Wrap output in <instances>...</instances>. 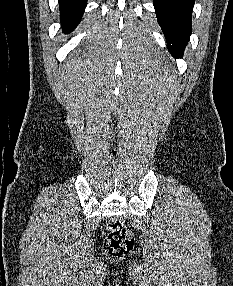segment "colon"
I'll list each match as a JSON object with an SVG mask.
<instances>
[{
	"mask_svg": "<svg viewBox=\"0 0 233 286\" xmlns=\"http://www.w3.org/2000/svg\"><path fill=\"white\" fill-rule=\"evenodd\" d=\"M133 245L132 233L119 219H112L108 223V234L104 242V249L111 256H120L128 252Z\"/></svg>",
	"mask_w": 233,
	"mask_h": 286,
	"instance_id": "colon-1",
	"label": "colon"
}]
</instances>
